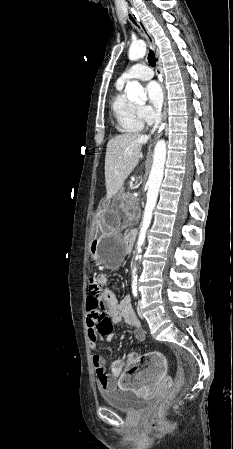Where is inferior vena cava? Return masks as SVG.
<instances>
[{
	"label": "inferior vena cava",
	"mask_w": 233,
	"mask_h": 449,
	"mask_svg": "<svg viewBox=\"0 0 233 449\" xmlns=\"http://www.w3.org/2000/svg\"><path fill=\"white\" fill-rule=\"evenodd\" d=\"M160 122H161V112L156 111L154 114V127L152 129V133L159 127Z\"/></svg>",
	"instance_id": "1"
}]
</instances>
